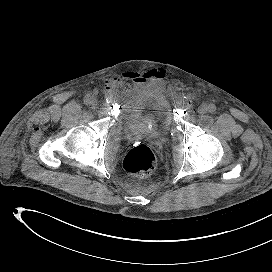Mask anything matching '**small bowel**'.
I'll return each mask as SVG.
<instances>
[{"instance_id": "small-bowel-1", "label": "small bowel", "mask_w": 272, "mask_h": 272, "mask_svg": "<svg viewBox=\"0 0 272 272\" xmlns=\"http://www.w3.org/2000/svg\"><path fill=\"white\" fill-rule=\"evenodd\" d=\"M124 80H131L136 83L146 81L142 74L134 73V72H127V73H124L122 77H116L112 81H110L109 84L107 85V89H111V88L121 84Z\"/></svg>"}]
</instances>
